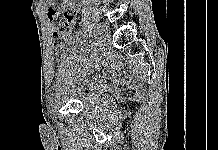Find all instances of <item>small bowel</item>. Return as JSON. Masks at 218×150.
I'll list each match as a JSON object with an SVG mask.
<instances>
[{"label":"small bowel","instance_id":"small-bowel-1","mask_svg":"<svg viewBox=\"0 0 218 150\" xmlns=\"http://www.w3.org/2000/svg\"><path fill=\"white\" fill-rule=\"evenodd\" d=\"M46 3L48 5L47 18L51 24L53 37L61 30L73 28L76 20L75 3L73 0H63L60 7L56 6L55 0H46Z\"/></svg>","mask_w":218,"mask_h":150}]
</instances>
